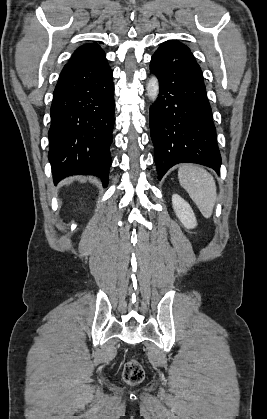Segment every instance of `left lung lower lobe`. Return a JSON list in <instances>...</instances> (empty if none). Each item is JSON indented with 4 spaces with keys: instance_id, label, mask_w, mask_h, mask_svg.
<instances>
[{
    "instance_id": "0a47b994",
    "label": "left lung lower lobe",
    "mask_w": 267,
    "mask_h": 419,
    "mask_svg": "<svg viewBox=\"0 0 267 419\" xmlns=\"http://www.w3.org/2000/svg\"><path fill=\"white\" fill-rule=\"evenodd\" d=\"M150 70L159 96L150 107V131L158 179L178 163H197L220 172L216 128L200 66L190 49L169 40L153 54Z\"/></svg>"
}]
</instances>
